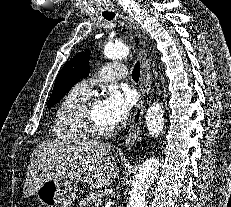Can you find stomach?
<instances>
[{
  "mask_svg": "<svg viewBox=\"0 0 231 207\" xmlns=\"http://www.w3.org/2000/svg\"><path fill=\"white\" fill-rule=\"evenodd\" d=\"M77 184L67 178H51L35 192L37 200L45 207H69L76 199Z\"/></svg>",
  "mask_w": 231,
  "mask_h": 207,
  "instance_id": "0dacf381",
  "label": "stomach"
}]
</instances>
